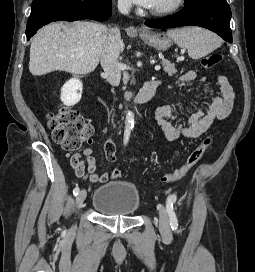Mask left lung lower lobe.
I'll return each mask as SVG.
<instances>
[{"label": "left lung lower lobe", "instance_id": "0a47b994", "mask_svg": "<svg viewBox=\"0 0 255 272\" xmlns=\"http://www.w3.org/2000/svg\"><path fill=\"white\" fill-rule=\"evenodd\" d=\"M231 10L226 0H186L178 14L153 21H145L152 28H174L197 25L207 28L225 41L232 43L230 29Z\"/></svg>", "mask_w": 255, "mask_h": 272}]
</instances>
